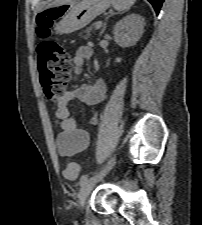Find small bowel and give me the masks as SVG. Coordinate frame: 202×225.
Instances as JSON below:
<instances>
[{
	"label": "small bowel",
	"mask_w": 202,
	"mask_h": 225,
	"mask_svg": "<svg viewBox=\"0 0 202 225\" xmlns=\"http://www.w3.org/2000/svg\"><path fill=\"white\" fill-rule=\"evenodd\" d=\"M92 57V49L88 45L80 46L73 57L76 74L81 72L85 60ZM107 92L103 80H97L95 85L82 84L66 91L57 102L54 118L60 128L57 137L58 152L62 156H71L84 151L88 145V134L78 126L77 120L71 116L69 105L77 100L87 105L100 103Z\"/></svg>",
	"instance_id": "obj_1"
}]
</instances>
